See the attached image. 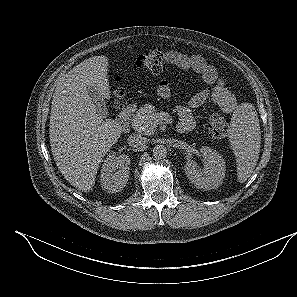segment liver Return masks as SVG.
Listing matches in <instances>:
<instances>
[{
    "label": "liver",
    "mask_w": 297,
    "mask_h": 297,
    "mask_svg": "<svg viewBox=\"0 0 297 297\" xmlns=\"http://www.w3.org/2000/svg\"><path fill=\"white\" fill-rule=\"evenodd\" d=\"M108 66L103 55L84 60L61 78L53 94L49 137L54 161L64 178L84 192L93 188L102 158L121 135L113 120L103 121L86 89L110 97Z\"/></svg>",
    "instance_id": "1"
}]
</instances>
